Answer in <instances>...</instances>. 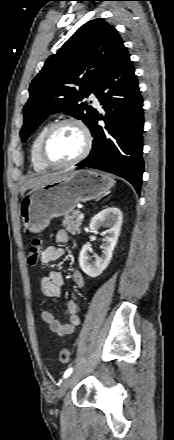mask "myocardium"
Here are the masks:
<instances>
[{
  "mask_svg": "<svg viewBox=\"0 0 174 440\" xmlns=\"http://www.w3.org/2000/svg\"><path fill=\"white\" fill-rule=\"evenodd\" d=\"M65 124H73L80 129V131L82 132L83 137H84L83 148H82L81 152L75 158H73L67 162L55 163V162L51 161L47 156V146H48V143H49L50 138L53 135V133L60 126L65 125ZM92 144H93V137H92L91 131L84 121H82L81 119H79L77 117L62 118V119L54 122L48 128L46 133L44 134L41 145H40V158L45 165H47L51 168L68 167L71 165H75V164L79 163L80 161H82L84 158H86L87 155L91 151Z\"/></svg>",
  "mask_w": 174,
  "mask_h": 440,
  "instance_id": "1",
  "label": "myocardium"
}]
</instances>
